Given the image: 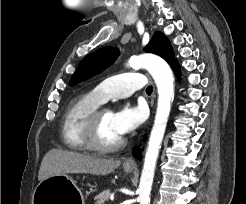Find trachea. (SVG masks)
<instances>
[{
  "mask_svg": "<svg viewBox=\"0 0 246 204\" xmlns=\"http://www.w3.org/2000/svg\"><path fill=\"white\" fill-rule=\"evenodd\" d=\"M152 91H153V86L147 87L146 92H147L148 94H151Z\"/></svg>",
  "mask_w": 246,
  "mask_h": 204,
  "instance_id": "1",
  "label": "trachea"
}]
</instances>
